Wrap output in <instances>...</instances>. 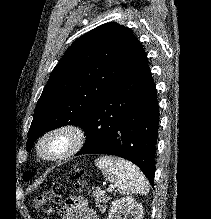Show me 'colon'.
<instances>
[{
    "label": "colon",
    "mask_w": 211,
    "mask_h": 219,
    "mask_svg": "<svg viewBox=\"0 0 211 219\" xmlns=\"http://www.w3.org/2000/svg\"><path fill=\"white\" fill-rule=\"evenodd\" d=\"M82 176L81 172L77 173V177ZM80 185H78L79 187ZM65 188L61 184L54 185L49 191L40 193L32 200V205L43 219H48L61 206L62 197L64 196Z\"/></svg>",
    "instance_id": "obj_1"
}]
</instances>
